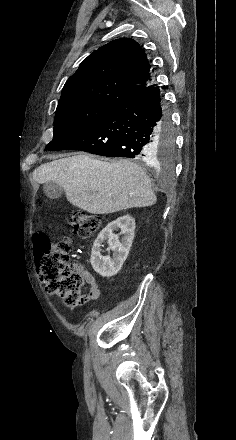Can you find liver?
Masks as SVG:
<instances>
[{"label":"liver","mask_w":236,"mask_h":440,"mask_svg":"<svg viewBox=\"0 0 236 440\" xmlns=\"http://www.w3.org/2000/svg\"><path fill=\"white\" fill-rule=\"evenodd\" d=\"M33 179L57 183L72 205L91 214L148 207L157 200L149 177L129 160L106 162L79 154L39 166Z\"/></svg>","instance_id":"6515ba94"}]
</instances>
